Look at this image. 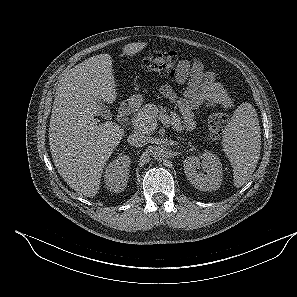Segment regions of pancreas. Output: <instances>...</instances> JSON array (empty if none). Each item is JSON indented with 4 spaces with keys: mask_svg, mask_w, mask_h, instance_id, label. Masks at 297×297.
<instances>
[{
    "mask_svg": "<svg viewBox=\"0 0 297 297\" xmlns=\"http://www.w3.org/2000/svg\"><path fill=\"white\" fill-rule=\"evenodd\" d=\"M166 110L162 107L159 109L151 103L144 105L132 118L134 129L144 134H151L157 126V121L165 115ZM168 124L172 125L175 131L181 132L184 129L180 116L175 112H171Z\"/></svg>",
    "mask_w": 297,
    "mask_h": 297,
    "instance_id": "1",
    "label": "pancreas"
}]
</instances>
